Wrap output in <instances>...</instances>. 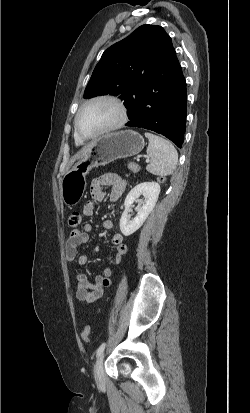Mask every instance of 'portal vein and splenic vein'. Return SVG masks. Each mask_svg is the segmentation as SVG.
Instances as JSON below:
<instances>
[{"instance_id":"18ae733b","label":"portal vein and splenic vein","mask_w":250,"mask_h":413,"mask_svg":"<svg viewBox=\"0 0 250 413\" xmlns=\"http://www.w3.org/2000/svg\"><path fill=\"white\" fill-rule=\"evenodd\" d=\"M137 160H139V159H137ZM146 162H149V158L146 159Z\"/></svg>"}]
</instances>
